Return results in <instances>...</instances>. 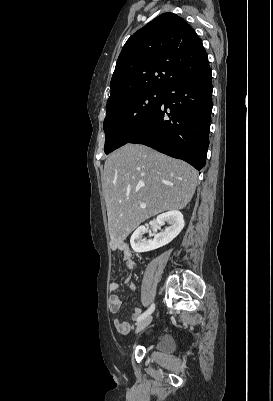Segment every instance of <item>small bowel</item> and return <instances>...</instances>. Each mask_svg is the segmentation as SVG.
<instances>
[{"mask_svg": "<svg viewBox=\"0 0 273 401\" xmlns=\"http://www.w3.org/2000/svg\"><path fill=\"white\" fill-rule=\"evenodd\" d=\"M112 250L114 252H120L122 254V259L125 262V265L128 269H133L135 266V261L133 259V253L130 246L122 241H115L111 245ZM126 286L131 290H136V284L130 280H125ZM120 289V284L116 279H112L109 283V290H110V312L116 314L120 311L122 306V301L118 296V291ZM142 302L144 304H153L155 302V297L153 295H144L142 297ZM143 315V309L140 307H135L132 310L131 318L133 321L139 320ZM113 326L115 330L120 334H129L133 332L136 327L133 324H130L127 321H123L119 318L113 319Z\"/></svg>", "mask_w": 273, "mask_h": 401, "instance_id": "c3829d8e", "label": "small bowel"}]
</instances>
